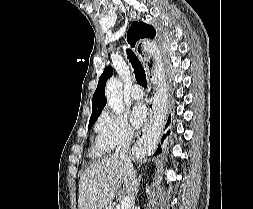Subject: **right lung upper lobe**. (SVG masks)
<instances>
[{"instance_id":"right-lung-upper-lobe-1","label":"right lung upper lobe","mask_w":253,"mask_h":209,"mask_svg":"<svg viewBox=\"0 0 253 209\" xmlns=\"http://www.w3.org/2000/svg\"><path fill=\"white\" fill-rule=\"evenodd\" d=\"M156 35L155 29L143 22H134L127 33V41L131 45V47H135V43L137 40L141 38H151L153 39ZM113 70L112 68L106 67L100 76L96 91L93 95L92 99V115L91 119L98 118L102 109L106 105L105 98V84L107 80L112 76Z\"/></svg>"}]
</instances>
